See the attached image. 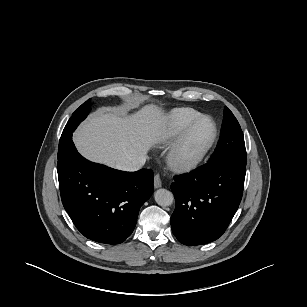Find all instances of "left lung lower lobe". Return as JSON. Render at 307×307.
Returning a JSON list of instances; mask_svg holds the SVG:
<instances>
[{
	"mask_svg": "<svg viewBox=\"0 0 307 307\" xmlns=\"http://www.w3.org/2000/svg\"><path fill=\"white\" fill-rule=\"evenodd\" d=\"M245 174L246 169L219 161L174 177L171 228L182 244H207L222 236L239 207Z\"/></svg>",
	"mask_w": 307,
	"mask_h": 307,
	"instance_id": "left-lung-lower-lobe-1",
	"label": "left lung lower lobe"
}]
</instances>
